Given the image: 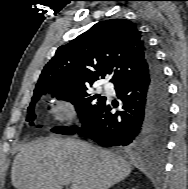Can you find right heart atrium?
Segmentation results:
<instances>
[{
  "label": "right heart atrium",
  "mask_w": 188,
  "mask_h": 189,
  "mask_svg": "<svg viewBox=\"0 0 188 189\" xmlns=\"http://www.w3.org/2000/svg\"><path fill=\"white\" fill-rule=\"evenodd\" d=\"M58 113L67 119H73L76 115V110L71 103H62L58 107Z\"/></svg>",
  "instance_id": "obj_1"
}]
</instances>
